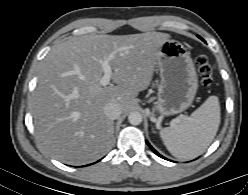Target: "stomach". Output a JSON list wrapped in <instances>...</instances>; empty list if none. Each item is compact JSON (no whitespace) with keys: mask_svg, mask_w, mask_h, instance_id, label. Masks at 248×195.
<instances>
[{"mask_svg":"<svg viewBox=\"0 0 248 195\" xmlns=\"http://www.w3.org/2000/svg\"><path fill=\"white\" fill-rule=\"evenodd\" d=\"M160 72L157 101L154 109L163 116L189 108L198 88L194 63L186 47L176 40L162 43L157 60Z\"/></svg>","mask_w":248,"mask_h":195,"instance_id":"0dacf381","label":"stomach"}]
</instances>
